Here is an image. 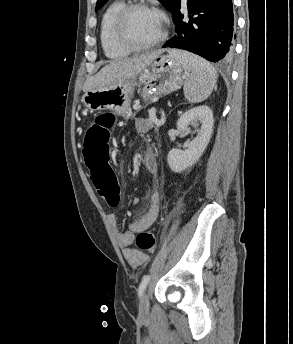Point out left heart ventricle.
Wrapping results in <instances>:
<instances>
[{
	"label": "left heart ventricle",
	"instance_id": "obj_1",
	"mask_svg": "<svg viewBox=\"0 0 293 344\" xmlns=\"http://www.w3.org/2000/svg\"><path fill=\"white\" fill-rule=\"evenodd\" d=\"M162 22L153 12L134 11L127 21V33L138 43H147L158 38L162 33Z\"/></svg>",
	"mask_w": 293,
	"mask_h": 344
}]
</instances>
